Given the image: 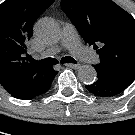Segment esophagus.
Instances as JSON below:
<instances>
[{
	"label": "esophagus",
	"instance_id": "obj_1",
	"mask_svg": "<svg viewBox=\"0 0 135 135\" xmlns=\"http://www.w3.org/2000/svg\"><path fill=\"white\" fill-rule=\"evenodd\" d=\"M66 67H70V68H74V69H78L80 68V64H71V63H68V64H65Z\"/></svg>",
	"mask_w": 135,
	"mask_h": 135
}]
</instances>
